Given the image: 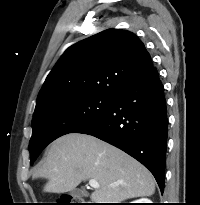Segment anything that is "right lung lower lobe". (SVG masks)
Segmentation results:
<instances>
[{"mask_svg": "<svg viewBox=\"0 0 200 205\" xmlns=\"http://www.w3.org/2000/svg\"><path fill=\"white\" fill-rule=\"evenodd\" d=\"M167 127L164 88L153 67L118 92L105 115L76 133L95 136L137 159L163 193Z\"/></svg>", "mask_w": 200, "mask_h": 205, "instance_id": "obj_1", "label": "right lung lower lobe"}]
</instances>
